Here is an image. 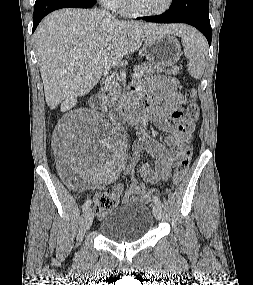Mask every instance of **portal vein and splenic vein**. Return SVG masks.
<instances>
[{"label": "portal vein and splenic vein", "mask_w": 253, "mask_h": 285, "mask_svg": "<svg viewBox=\"0 0 253 285\" xmlns=\"http://www.w3.org/2000/svg\"><path fill=\"white\" fill-rule=\"evenodd\" d=\"M141 77V75L138 73V72H134L133 74H132V78H134V79H138V78H140Z\"/></svg>", "instance_id": "1"}]
</instances>
